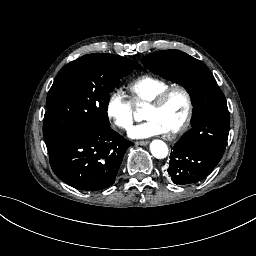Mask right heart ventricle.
<instances>
[{
	"label": "right heart ventricle",
	"mask_w": 256,
	"mask_h": 256,
	"mask_svg": "<svg viewBox=\"0 0 256 256\" xmlns=\"http://www.w3.org/2000/svg\"><path fill=\"white\" fill-rule=\"evenodd\" d=\"M166 91V88L159 86L150 79H142L135 87L136 110L139 113L145 112Z\"/></svg>",
	"instance_id": "e07e8e85"
}]
</instances>
